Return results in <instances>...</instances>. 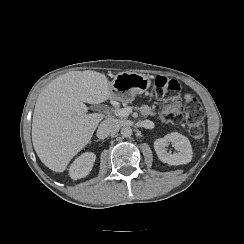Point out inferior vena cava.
Instances as JSON below:
<instances>
[{
  "mask_svg": "<svg viewBox=\"0 0 244 244\" xmlns=\"http://www.w3.org/2000/svg\"><path fill=\"white\" fill-rule=\"evenodd\" d=\"M120 124L114 119L104 120L98 129V136L100 138H105L110 134H115L119 131Z\"/></svg>",
  "mask_w": 244,
  "mask_h": 244,
  "instance_id": "obj_1",
  "label": "inferior vena cava"
}]
</instances>
